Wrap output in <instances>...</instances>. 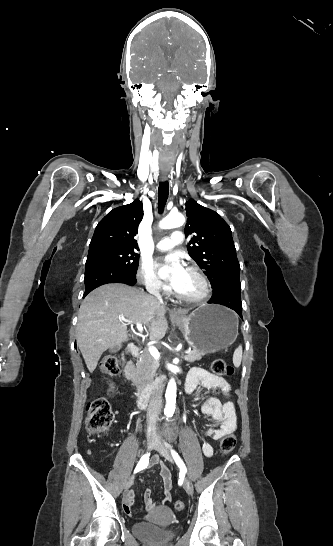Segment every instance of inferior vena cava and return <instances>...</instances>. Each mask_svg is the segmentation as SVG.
Masks as SVG:
<instances>
[{
    "instance_id": "1",
    "label": "inferior vena cava",
    "mask_w": 333,
    "mask_h": 546,
    "mask_svg": "<svg viewBox=\"0 0 333 546\" xmlns=\"http://www.w3.org/2000/svg\"><path fill=\"white\" fill-rule=\"evenodd\" d=\"M161 287V282L159 280H151L147 284V291L154 295L160 303H163L162 297L159 293ZM161 396L159 394H155L152 399L149 402V407L147 410V428L148 431H156L157 430V420L158 415L161 410Z\"/></svg>"
}]
</instances>
